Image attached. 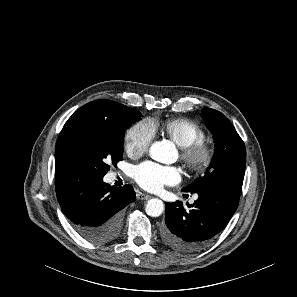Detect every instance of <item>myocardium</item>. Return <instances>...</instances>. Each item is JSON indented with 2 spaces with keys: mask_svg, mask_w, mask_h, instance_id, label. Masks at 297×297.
<instances>
[{
  "mask_svg": "<svg viewBox=\"0 0 297 297\" xmlns=\"http://www.w3.org/2000/svg\"><path fill=\"white\" fill-rule=\"evenodd\" d=\"M215 155L211 142L200 140L180 147V159L185 168L193 175H201L210 167Z\"/></svg>",
  "mask_w": 297,
  "mask_h": 297,
  "instance_id": "1",
  "label": "myocardium"
}]
</instances>
